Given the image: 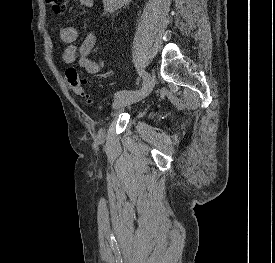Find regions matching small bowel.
<instances>
[{
  "label": "small bowel",
  "mask_w": 275,
  "mask_h": 263,
  "mask_svg": "<svg viewBox=\"0 0 275 263\" xmlns=\"http://www.w3.org/2000/svg\"><path fill=\"white\" fill-rule=\"evenodd\" d=\"M92 6L93 0H79L80 9H89ZM60 36L67 45L63 52V61L66 64L77 63L90 75H96L100 72L101 64L90 58L97 41V35L94 32L88 33L78 44V29L74 25H66L61 29Z\"/></svg>",
  "instance_id": "1"
}]
</instances>
